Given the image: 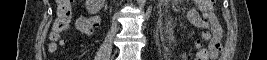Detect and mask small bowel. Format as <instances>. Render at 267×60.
<instances>
[{
  "mask_svg": "<svg viewBox=\"0 0 267 60\" xmlns=\"http://www.w3.org/2000/svg\"><path fill=\"white\" fill-rule=\"evenodd\" d=\"M187 19L199 28L209 29V32H205L202 35L203 39L208 40V47L199 49L200 60L215 59L221 51L224 37L222 27L216 16L212 13L207 16H203L200 15L196 9L190 8L187 12ZM100 21V16H93L90 18L81 17L77 21V27L83 34L89 36L94 33L95 27L100 23ZM85 24H90L92 28L87 29L84 27ZM197 46L200 47V43H197ZM184 58L192 59L193 56L184 55Z\"/></svg>",
  "mask_w": 267,
  "mask_h": 60,
  "instance_id": "obj_1",
  "label": "small bowel"
}]
</instances>
